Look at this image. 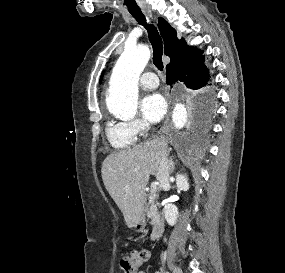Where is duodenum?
<instances>
[{"mask_svg": "<svg viewBox=\"0 0 285 273\" xmlns=\"http://www.w3.org/2000/svg\"><path fill=\"white\" fill-rule=\"evenodd\" d=\"M163 231H164V222L162 218H160L159 216H155L152 223L150 239L151 240L157 239L159 236H161Z\"/></svg>", "mask_w": 285, "mask_h": 273, "instance_id": "1", "label": "duodenum"}]
</instances>
